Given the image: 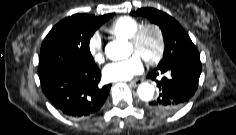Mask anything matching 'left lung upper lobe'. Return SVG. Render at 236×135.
<instances>
[{
    "instance_id": "5c2ea615",
    "label": "left lung upper lobe",
    "mask_w": 236,
    "mask_h": 135,
    "mask_svg": "<svg viewBox=\"0 0 236 135\" xmlns=\"http://www.w3.org/2000/svg\"><path fill=\"white\" fill-rule=\"evenodd\" d=\"M131 14L147 17L152 23L159 25L163 32L165 49L157 68L173 61H181L197 52L187 32L168 14L154 8H141Z\"/></svg>"
}]
</instances>
